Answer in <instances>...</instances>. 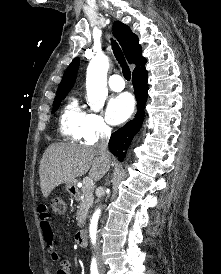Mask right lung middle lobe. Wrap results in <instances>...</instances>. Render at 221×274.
Returning a JSON list of instances; mask_svg holds the SVG:
<instances>
[{
  "instance_id": "1",
  "label": "right lung middle lobe",
  "mask_w": 221,
  "mask_h": 274,
  "mask_svg": "<svg viewBox=\"0 0 221 274\" xmlns=\"http://www.w3.org/2000/svg\"><path fill=\"white\" fill-rule=\"evenodd\" d=\"M67 94L58 95L54 99V105L52 109V113H55L58 107L60 106L61 101L66 97Z\"/></svg>"
}]
</instances>
